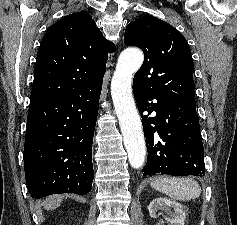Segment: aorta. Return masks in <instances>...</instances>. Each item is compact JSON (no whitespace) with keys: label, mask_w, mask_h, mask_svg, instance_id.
Here are the masks:
<instances>
[{"label":"aorta","mask_w":237,"mask_h":225,"mask_svg":"<svg viewBox=\"0 0 237 225\" xmlns=\"http://www.w3.org/2000/svg\"><path fill=\"white\" fill-rule=\"evenodd\" d=\"M143 59V53L139 49L124 50L118 58L111 81V96L124 146L129 163L135 169L143 167L146 155L142 123L132 94L133 75L141 67Z\"/></svg>","instance_id":"aorta-1"}]
</instances>
